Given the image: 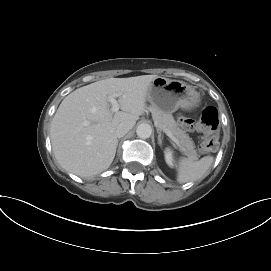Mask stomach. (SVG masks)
Returning <instances> with one entry per match:
<instances>
[{"label": "stomach", "instance_id": "stomach-1", "mask_svg": "<svg viewBox=\"0 0 271 271\" xmlns=\"http://www.w3.org/2000/svg\"><path fill=\"white\" fill-rule=\"evenodd\" d=\"M147 100L159 110L172 113L179 108H196L201 102V94L184 82L157 77L149 85Z\"/></svg>", "mask_w": 271, "mask_h": 271}]
</instances>
